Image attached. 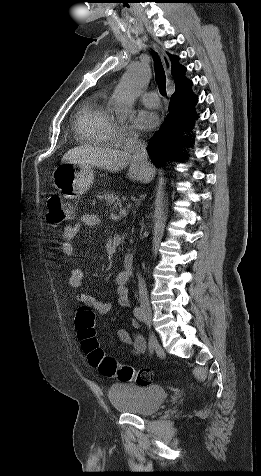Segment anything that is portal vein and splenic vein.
<instances>
[{"instance_id":"18ae733b","label":"portal vein and splenic vein","mask_w":261,"mask_h":476,"mask_svg":"<svg viewBox=\"0 0 261 476\" xmlns=\"http://www.w3.org/2000/svg\"><path fill=\"white\" fill-rule=\"evenodd\" d=\"M126 215H127L126 209H120L118 218H120L121 216H126Z\"/></svg>"}]
</instances>
